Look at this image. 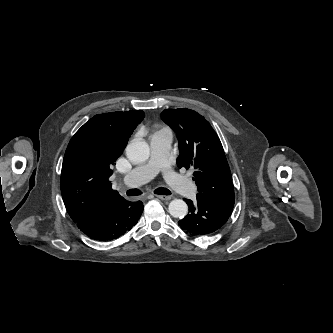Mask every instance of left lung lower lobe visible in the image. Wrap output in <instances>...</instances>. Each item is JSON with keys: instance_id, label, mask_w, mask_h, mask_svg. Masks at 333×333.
<instances>
[{"instance_id": "1", "label": "left lung lower lobe", "mask_w": 333, "mask_h": 333, "mask_svg": "<svg viewBox=\"0 0 333 333\" xmlns=\"http://www.w3.org/2000/svg\"><path fill=\"white\" fill-rule=\"evenodd\" d=\"M189 214L178 222L179 226L192 236L206 235L221 228L230 217L233 206L213 203L197 195L196 201L184 199Z\"/></svg>"}]
</instances>
